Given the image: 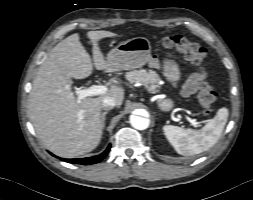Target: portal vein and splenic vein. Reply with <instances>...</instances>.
I'll list each match as a JSON object with an SVG mask.
<instances>
[{
  "label": "portal vein and splenic vein",
  "mask_w": 253,
  "mask_h": 200,
  "mask_svg": "<svg viewBox=\"0 0 253 200\" xmlns=\"http://www.w3.org/2000/svg\"><path fill=\"white\" fill-rule=\"evenodd\" d=\"M108 88L104 85H92L89 88L85 89H80L76 88L75 93L77 95V101H81L82 99L89 97V96H97V95H102L107 92ZM185 119L189 121L194 127H198L199 124L196 121V119H192L188 116H185Z\"/></svg>",
  "instance_id": "portal-vein-and-splenic-vein-1"
}]
</instances>
